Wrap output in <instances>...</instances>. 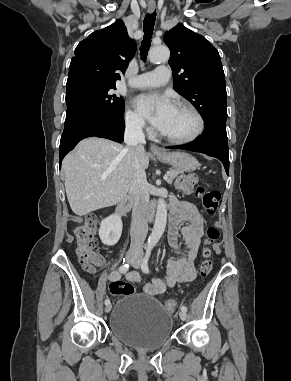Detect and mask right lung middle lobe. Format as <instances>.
<instances>
[{"mask_svg":"<svg viewBox=\"0 0 291 381\" xmlns=\"http://www.w3.org/2000/svg\"><path fill=\"white\" fill-rule=\"evenodd\" d=\"M114 89H116L115 84L73 78L67 80L66 102H83L99 117L111 114L123 115L124 101L113 93Z\"/></svg>","mask_w":291,"mask_h":381,"instance_id":"dd1d6c3e","label":"right lung middle lobe"}]
</instances>
